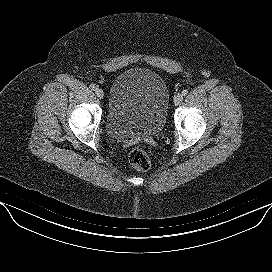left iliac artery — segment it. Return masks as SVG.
<instances>
[{"label":"left iliac artery","mask_w":272,"mask_h":272,"mask_svg":"<svg viewBox=\"0 0 272 272\" xmlns=\"http://www.w3.org/2000/svg\"><path fill=\"white\" fill-rule=\"evenodd\" d=\"M187 94H188V90L185 89V90L182 91V95H183V96H185V95H187Z\"/></svg>","instance_id":"44dca946"}]
</instances>
